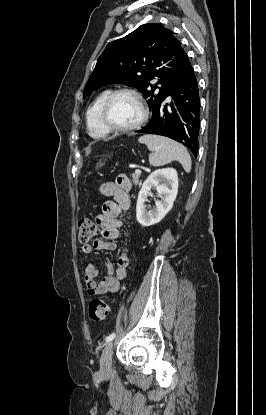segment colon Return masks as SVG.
I'll use <instances>...</instances> for the list:
<instances>
[{
	"label": "colon",
	"instance_id": "1",
	"mask_svg": "<svg viewBox=\"0 0 266 415\" xmlns=\"http://www.w3.org/2000/svg\"><path fill=\"white\" fill-rule=\"evenodd\" d=\"M99 232L98 225L88 218H83L78 224V238L83 244H87ZM89 316L95 322H103L109 314V307L103 299H93L89 303Z\"/></svg>",
	"mask_w": 266,
	"mask_h": 415
}]
</instances>
